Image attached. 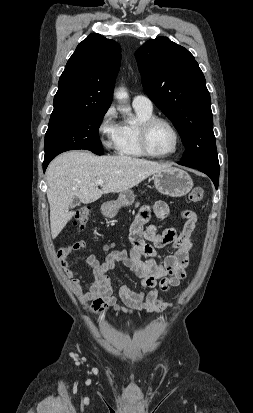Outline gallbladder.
I'll return each instance as SVG.
<instances>
[{
    "instance_id": "1",
    "label": "gallbladder",
    "mask_w": 253,
    "mask_h": 413,
    "mask_svg": "<svg viewBox=\"0 0 253 413\" xmlns=\"http://www.w3.org/2000/svg\"><path fill=\"white\" fill-rule=\"evenodd\" d=\"M78 205H80V200L78 198H74L71 205H70V207L73 208V207L78 206Z\"/></svg>"
}]
</instances>
